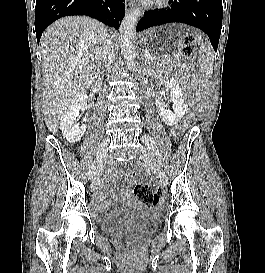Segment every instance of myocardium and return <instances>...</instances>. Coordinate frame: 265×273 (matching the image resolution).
<instances>
[{
  "mask_svg": "<svg viewBox=\"0 0 265 273\" xmlns=\"http://www.w3.org/2000/svg\"><path fill=\"white\" fill-rule=\"evenodd\" d=\"M171 0H147L148 5L154 8H164L169 5Z\"/></svg>",
  "mask_w": 265,
  "mask_h": 273,
  "instance_id": "obj_1",
  "label": "myocardium"
}]
</instances>
